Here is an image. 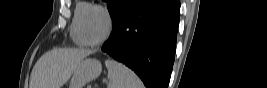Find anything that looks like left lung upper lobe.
Returning a JSON list of instances; mask_svg holds the SVG:
<instances>
[{
  "mask_svg": "<svg viewBox=\"0 0 267 88\" xmlns=\"http://www.w3.org/2000/svg\"><path fill=\"white\" fill-rule=\"evenodd\" d=\"M114 23L130 0H104Z\"/></svg>",
  "mask_w": 267,
  "mask_h": 88,
  "instance_id": "5c2ea615",
  "label": "left lung upper lobe"
}]
</instances>
